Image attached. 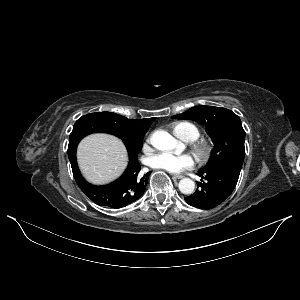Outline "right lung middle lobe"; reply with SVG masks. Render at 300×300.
Wrapping results in <instances>:
<instances>
[{
  "mask_svg": "<svg viewBox=\"0 0 300 300\" xmlns=\"http://www.w3.org/2000/svg\"><path fill=\"white\" fill-rule=\"evenodd\" d=\"M104 112L91 113L79 118L69 137L68 154L76 151L79 141L90 133L106 132L121 138L131 156L137 157L142 148L143 135L126 138L116 129L115 122L106 119Z\"/></svg>",
  "mask_w": 300,
  "mask_h": 300,
  "instance_id": "right-lung-middle-lobe-1",
  "label": "right lung middle lobe"
}]
</instances>
